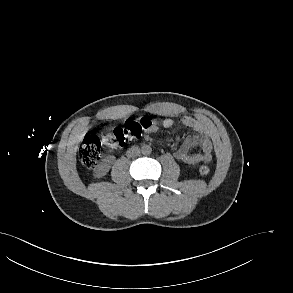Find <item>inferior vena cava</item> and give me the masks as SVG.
<instances>
[{
    "instance_id": "obj_1",
    "label": "inferior vena cava",
    "mask_w": 293,
    "mask_h": 293,
    "mask_svg": "<svg viewBox=\"0 0 293 293\" xmlns=\"http://www.w3.org/2000/svg\"><path fill=\"white\" fill-rule=\"evenodd\" d=\"M140 154V149L138 147H131L128 151H127V156L128 157H136Z\"/></svg>"
}]
</instances>
